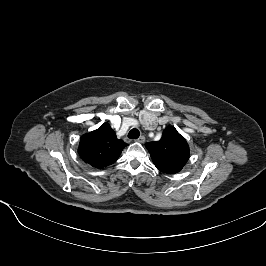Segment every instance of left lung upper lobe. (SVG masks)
Here are the masks:
<instances>
[{"instance_id":"5c2ea615","label":"left lung upper lobe","mask_w":266,"mask_h":266,"mask_svg":"<svg viewBox=\"0 0 266 266\" xmlns=\"http://www.w3.org/2000/svg\"><path fill=\"white\" fill-rule=\"evenodd\" d=\"M154 165L161 172L175 174L189 159V146L177 130L169 126L159 141L146 143Z\"/></svg>"}]
</instances>
